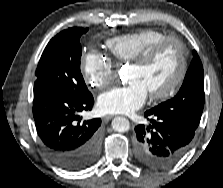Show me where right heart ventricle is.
I'll use <instances>...</instances> for the list:
<instances>
[{
  "instance_id": "1",
  "label": "right heart ventricle",
  "mask_w": 223,
  "mask_h": 188,
  "mask_svg": "<svg viewBox=\"0 0 223 188\" xmlns=\"http://www.w3.org/2000/svg\"><path fill=\"white\" fill-rule=\"evenodd\" d=\"M167 35L157 29L147 28L133 33L115 36L106 41V47L119 62H130L152 44Z\"/></svg>"
}]
</instances>
